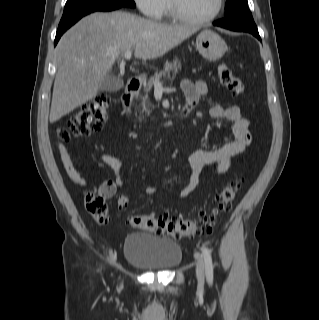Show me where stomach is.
<instances>
[{"mask_svg":"<svg viewBox=\"0 0 319 320\" xmlns=\"http://www.w3.org/2000/svg\"><path fill=\"white\" fill-rule=\"evenodd\" d=\"M196 48L205 59L216 61L225 54L227 45L216 32L204 29L196 38Z\"/></svg>","mask_w":319,"mask_h":320,"instance_id":"stomach-1","label":"stomach"}]
</instances>
